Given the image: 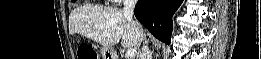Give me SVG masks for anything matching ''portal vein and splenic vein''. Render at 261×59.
I'll use <instances>...</instances> for the list:
<instances>
[{"mask_svg":"<svg viewBox=\"0 0 261 59\" xmlns=\"http://www.w3.org/2000/svg\"><path fill=\"white\" fill-rule=\"evenodd\" d=\"M136 49L134 48H131V49H128L127 52H126V56L128 59H133L135 56H136Z\"/></svg>","mask_w":261,"mask_h":59,"instance_id":"18ae733b","label":"portal vein and splenic vein"}]
</instances>
